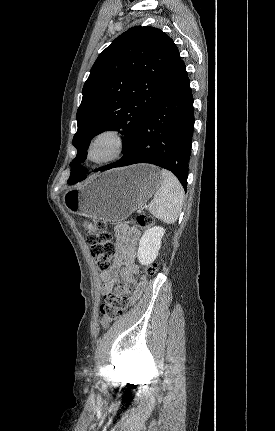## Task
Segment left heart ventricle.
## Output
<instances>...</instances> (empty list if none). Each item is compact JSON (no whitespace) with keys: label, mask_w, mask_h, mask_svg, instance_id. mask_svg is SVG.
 <instances>
[{"label":"left heart ventricle","mask_w":275,"mask_h":431,"mask_svg":"<svg viewBox=\"0 0 275 431\" xmlns=\"http://www.w3.org/2000/svg\"><path fill=\"white\" fill-rule=\"evenodd\" d=\"M109 149V142L107 141H102L101 143H99V145L95 148L94 150V156L95 157H101L103 155L106 154V152Z\"/></svg>","instance_id":"b2bd125f"}]
</instances>
